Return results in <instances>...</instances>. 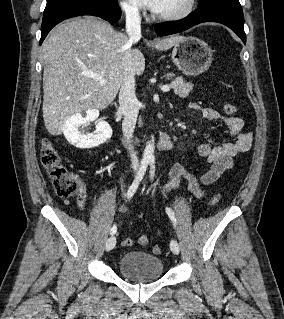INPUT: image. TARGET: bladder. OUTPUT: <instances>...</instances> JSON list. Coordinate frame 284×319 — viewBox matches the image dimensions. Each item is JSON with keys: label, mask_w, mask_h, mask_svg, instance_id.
Wrapping results in <instances>:
<instances>
[{"label": "bladder", "mask_w": 284, "mask_h": 319, "mask_svg": "<svg viewBox=\"0 0 284 319\" xmlns=\"http://www.w3.org/2000/svg\"><path fill=\"white\" fill-rule=\"evenodd\" d=\"M120 273L132 282H151L161 277L163 262L155 256L142 251L125 252L118 263Z\"/></svg>", "instance_id": "31cf9c89"}]
</instances>
